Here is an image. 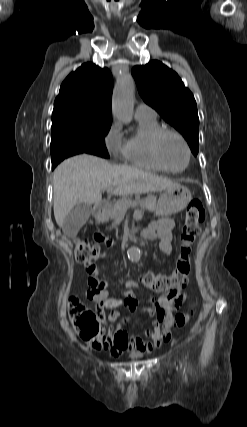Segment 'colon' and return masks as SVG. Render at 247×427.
<instances>
[{
	"mask_svg": "<svg viewBox=\"0 0 247 427\" xmlns=\"http://www.w3.org/2000/svg\"><path fill=\"white\" fill-rule=\"evenodd\" d=\"M204 219L205 210L202 203L199 200L191 201L185 212L181 230L180 255L175 269L169 275L152 271L145 272L141 277L145 288L155 293H169L172 290L181 289L187 284L191 272L190 255L201 232L200 225ZM74 253L76 260L84 264L103 256L98 244L80 239L74 242ZM192 314V311L177 314L175 316L176 326H184ZM69 315L75 331L85 342L94 348H101L105 345L106 335L102 321L95 312L75 297L70 300Z\"/></svg>",
	"mask_w": 247,
	"mask_h": 427,
	"instance_id": "obj_1",
	"label": "colon"
}]
</instances>
